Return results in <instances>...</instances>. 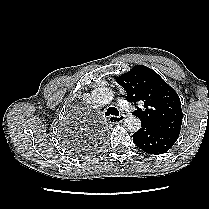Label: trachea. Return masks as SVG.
Listing matches in <instances>:
<instances>
[{"instance_id":"3493384b","label":"trachea","mask_w":209,"mask_h":209,"mask_svg":"<svg viewBox=\"0 0 209 209\" xmlns=\"http://www.w3.org/2000/svg\"><path fill=\"white\" fill-rule=\"evenodd\" d=\"M110 115L119 116V111L115 107H109L105 112V116Z\"/></svg>"}]
</instances>
